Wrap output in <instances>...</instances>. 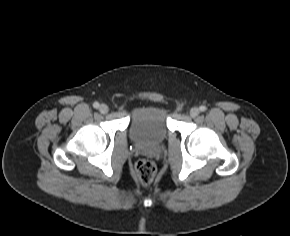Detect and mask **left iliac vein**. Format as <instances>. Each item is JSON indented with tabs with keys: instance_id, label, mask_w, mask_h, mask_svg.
<instances>
[{
	"instance_id": "1",
	"label": "left iliac vein",
	"mask_w": 290,
	"mask_h": 236,
	"mask_svg": "<svg viewBox=\"0 0 290 236\" xmlns=\"http://www.w3.org/2000/svg\"><path fill=\"white\" fill-rule=\"evenodd\" d=\"M200 113V110L199 108L197 107H193L191 110H190V115L191 117H197Z\"/></svg>"
}]
</instances>
